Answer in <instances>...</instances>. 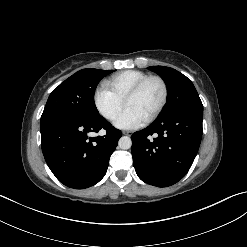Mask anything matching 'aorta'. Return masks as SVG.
Instances as JSON below:
<instances>
[{"label":"aorta","instance_id":"obj_1","mask_svg":"<svg viewBox=\"0 0 247 247\" xmlns=\"http://www.w3.org/2000/svg\"><path fill=\"white\" fill-rule=\"evenodd\" d=\"M118 146L124 150L130 149L132 146L131 138L128 136H122L118 141Z\"/></svg>","mask_w":247,"mask_h":247}]
</instances>
